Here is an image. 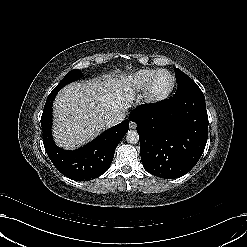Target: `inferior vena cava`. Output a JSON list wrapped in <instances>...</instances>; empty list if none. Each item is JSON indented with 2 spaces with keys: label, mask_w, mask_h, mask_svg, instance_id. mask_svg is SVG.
I'll return each instance as SVG.
<instances>
[{
  "label": "inferior vena cava",
  "mask_w": 247,
  "mask_h": 247,
  "mask_svg": "<svg viewBox=\"0 0 247 247\" xmlns=\"http://www.w3.org/2000/svg\"><path fill=\"white\" fill-rule=\"evenodd\" d=\"M125 118L124 112L114 113L112 115H109L106 119V127H112L114 125L119 124L121 121H123Z\"/></svg>",
  "instance_id": "inferior-vena-cava-1"
}]
</instances>
